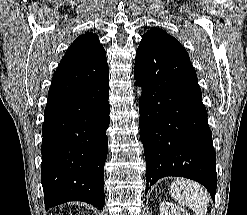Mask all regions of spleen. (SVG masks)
I'll return each instance as SVG.
<instances>
[{
	"label": "spleen",
	"instance_id": "1",
	"mask_svg": "<svg viewBox=\"0 0 247 215\" xmlns=\"http://www.w3.org/2000/svg\"><path fill=\"white\" fill-rule=\"evenodd\" d=\"M171 194L179 204L188 206L196 215H206L209 195L198 183L188 179H177L171 184Z\"/></svg>",
	"mask_w": 247,
	"mask_h": 215
}]
</instances>
